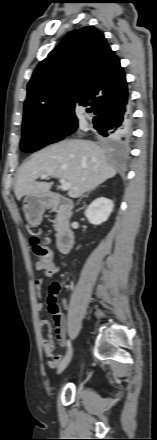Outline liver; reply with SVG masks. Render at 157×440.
<instances>
[{
	"mask_svg": "<svg viewBox=\"0 0 157 440\" xmlns=\"http://www.w3.org/2000/svg\"><path fill=\"white\" fill-rule=\"evenodd\" d=\"M42 175L64 179L71 187L68 196L78 198L116 175L107 162L105 150L88 140H67L50 145L33 154L19 169L14 193L23 196H43L53 182H36Z\"/></svg>",
	"mask_w": 157,
	"mask_h": 440,
	"instance_id": "obj_1",
	"label": "liver"
}]
</instances>
